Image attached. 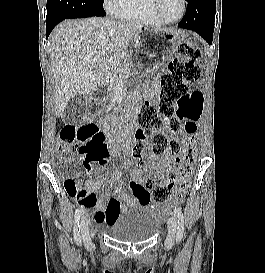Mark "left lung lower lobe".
I'll use <instances>...</instances> for the list:
<instances>
[{
	"mask_svg": "<svg viewBox=\"0 0 265 273\" xmlns=\"http://www.w3.org/2000/svg\"><path fill=\"white\" fill-rule=\"evenodd\" d=\"M212 8L216 9V0H191L178 26L197 32L208 44H212L214 25H208L203 20L206 12Z\"/></svg>",
	"mask_w": 265,
	"mask_h": 273,
	"instance_id": "0a47b994",
	"label": "left lung lower lobe"
}]
</instances>
